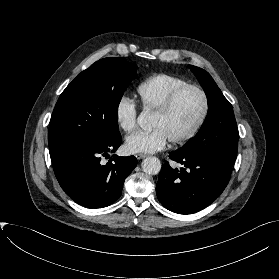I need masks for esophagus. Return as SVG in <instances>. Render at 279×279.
I'll use <instances>...</instances> for the list:
<instances>
[{
	"mask_svg": "<svg viewBox=\"0 0 279 279\" xmlns=\"http://www.w3.org/2000/svg\"><path fill=\"white\" fill-rule=\"evenodd\" d=\"M147 155L146 154H144V153H137L136 155H135V157L137 158V159H143V158H145Z\"/></svg>",
	"mask_w": 279,
	"mask_h": 279,
	"instance_id": "esophagus-1",
	"label": "esophagus"
}]
</instances>
